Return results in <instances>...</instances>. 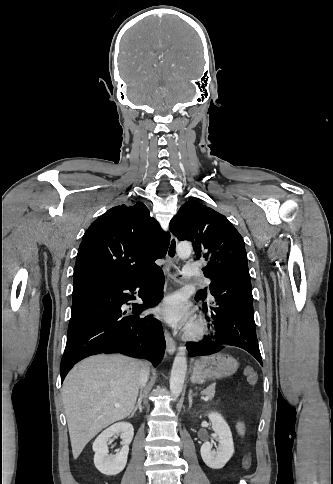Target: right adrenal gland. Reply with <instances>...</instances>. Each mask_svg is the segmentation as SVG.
Listing matches in <instances>:
<instances>
[{"instance_id": "2a0ac1e0", "label": "right adrenal gland", "mask_w": 333, "mask_h": 484, "mask_svg": "<svg viewBox=\"0 0 333 484\" xmlns=\"http://www.w3.org/2000/svg\"><path fill=\"white\" fill-rule=\"evenodd\" d=\"M142 399H143V395H142V393H140L137 405L134 407V409H133L131 415L129 416V418L133 417L137 410H139V412L142 413Z\"/></svg>"}]
</instances>
